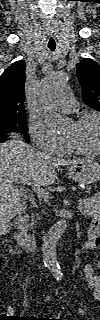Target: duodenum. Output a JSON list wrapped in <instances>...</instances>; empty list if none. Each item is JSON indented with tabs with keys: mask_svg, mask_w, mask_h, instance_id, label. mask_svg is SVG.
I'll list each match as a JSON object with an SVG mask.
<instances>
[{
	"mask_svg": "<svg viewBox=\"0 0 100 320\" xmlns=\"http://www.w3.org/2000/svg\"><path fill=\"white\" fill-rule=\"evenodd\" d=\"M15 238L21 247L26 251H33L36 247V238L29 233L27 228V217L20 216L15 221Z\"/></svg>",
	"mask_w": 100,
	"mask_h": 320,
	"instance_id": "duodenum-1",
	"label": "duodenum"
}]
</instances>
